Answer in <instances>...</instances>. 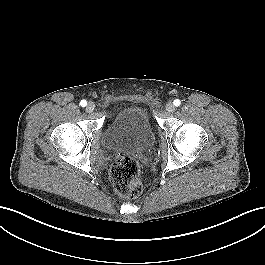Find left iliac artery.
I'll use <instances>...</instances> for the list:
<instances>
[{
  "mask_svg": "<svg viewBox=\"0 0 265 265\" xmlns=\"http://www.w3.org/2000/svg\"><path fill=\"white\" fill-rule=\"evenodd\" d=\"M174 106L178 107L181 104V101L179 99H175L173 102Z\"/></svg>",
  "mask_w": 265,
  "mask_h": 265,
  "instance_id": "1",
  "label": "left iliac artery"
}]
</instances>
